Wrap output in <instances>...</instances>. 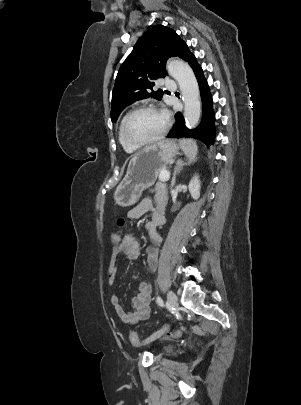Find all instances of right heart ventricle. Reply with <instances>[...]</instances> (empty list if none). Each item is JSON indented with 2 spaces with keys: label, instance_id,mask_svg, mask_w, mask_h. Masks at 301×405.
<instances>
[{
  "label": "right heart ventricle",
  "instance_id": "e07e8e85",
  "mask_svg": "<svg viewBox=\"0 0 301 405\" xmlns=\"http://www.w3.org/2000/svg\"><path fill=\"white\" fill-rule=\"evenodd\" d=\"M123 119H124V117H123L122 120L120 121L119 128H118V139H119V142H120L122 148H123L127 153H133V152H135V151L137 150V148H136V147H133V146H131V145H129L128 143H126L125 140H124L123 137H122V131H121V129H122Z\"/></svg>",
  "mask_w": 301,
  "mask_h": 405
}]
</instances>
